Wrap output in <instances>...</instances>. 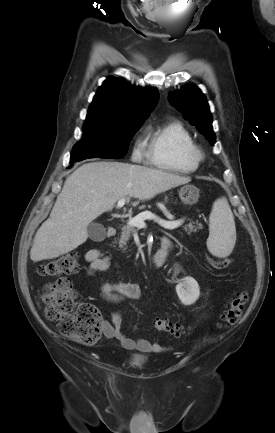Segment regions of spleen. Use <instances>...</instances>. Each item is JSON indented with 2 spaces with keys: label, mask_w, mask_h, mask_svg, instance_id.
<instances>
[{
  "label": "spleen",
  "mask_w": 275,
  "mask_h": 433,
  "mask_svg": "<svg viewBox=\"0 0 275 433\" xmlns=\"http://www.w3.org/2000/svg\"><path fill=\"white\" fill-rule=\"evenodd\" d=\"M236 228L234 217L226 198H219L213 203L209 217V237L207 248L219 258L229 256L235 246Z\"/></svg>",
  "instance_id": "1"
}]
</instances>
